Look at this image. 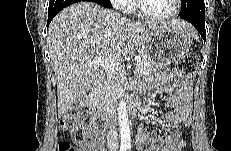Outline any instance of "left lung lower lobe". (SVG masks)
Here are the masks:
<instances>
[{
    "mask_svg": "<svg viewBox=\"0 0 231 151\" xmlns=\"http://www.w3.org/2000/svg\"><path fill=\"white\" fill-rule=\"evenodd\" d=\"M179 16L180 18L189 21L198 30L205 42L206 30L204 0H195L191 2L186 9L180 11Z\"/></svg>",
    "mask_w": 231,
    "mask_h": 151,
    "instance_id": "1",
    "label": "left lung lower lobe"
}]
</instances>
